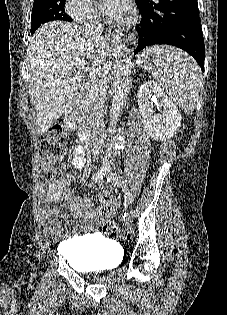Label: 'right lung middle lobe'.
Returning a JSON list of instances; mask_svg holds the SVG:
<instances>
[{
  "mask_svg": "<svg viewBox=\"0 0 227 315\" xmlns=\"http://www.w3.org/2000/svg\"><path fill=\"white\" fill-rule=\"evenodd\" d=\"M66 0H34L31 14V33L42 24L53 20L71 21L65 13L64 5Z\"/></svg>",
  "mask_w": 227,
  "mask_h": 315,
  "instance_id": "1",
  "label": "right lung middle lobe"
}]
</instances>
